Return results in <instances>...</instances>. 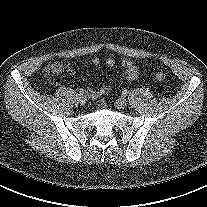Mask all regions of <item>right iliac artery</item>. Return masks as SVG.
Returning <instances> with one entry per match:
<instances>
[{"label": "right iliac artery", "instance_id": "1", "mask_svg": "<svg viewBox=\"0 0 207 207\" xmlns=\"http://www.w3.org/2000/svg\"><path fill=\"white\" fill-rule=\"evenodd\" d=\"M85 93V90L84 89H79V95H83Z\"/></svg>", "mask_w": 207, "mask_h": 207}]
</instances>
